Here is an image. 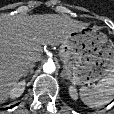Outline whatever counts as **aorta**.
Returning <instances> with one entry per match:
<instances>
[{"label":"aorta","instance_id":"762f6f07","mask_svg":"<svg viewBox=\"0 0 114 114\" xmlns=\"http://www.w3.org/2000/svg\"><path fill=\"white\" fill-rule=\"evenodd\" d=\"M55 69H56L55 64L51 61H48L43 65V70L46 73H52L55 71Z\"/></svg>","mask_w":114,"mask_h":114}]
</instances>
